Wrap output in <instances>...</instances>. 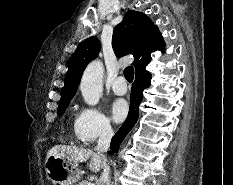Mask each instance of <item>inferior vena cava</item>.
Listing matches in <instances>:
<instances>
[{
	"label": "inferior vena cava",
	"instance_id": "inferior-vena-cava-1",
	"mask_svg": "<svg viewBox=\"0 0 233 185\" xmlns=\"http://www.w3.org/2000/svg\"><path fill=\"white\" fill-rule=\"evenodd\" d=\"M113 130L111 128L110 124H105L102 128V131L99 135V139L97 141V146L95 150L98 153H104L107 152L109 146H110V141L113 137ZM99 185H110V168L107 164L103 167V172L101 174L100 180H99Z\"/></svg>",
	"mask_w": 233,
	"mask_h": 185
}]
</instances>
